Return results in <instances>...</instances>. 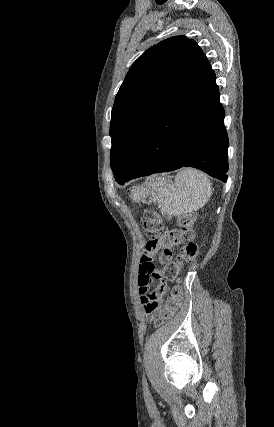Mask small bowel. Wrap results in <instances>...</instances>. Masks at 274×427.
I'll return each mask as SVG.
<instances>
[{"label":"small bowel","mask_w":274,"mask_h":427,"mask_svg":"<svg viewBox=\"0 0 274 427\" xmlns=\"http://www.w3.org/2000/svg\"><path fill=\"white\" fill-rule=\"evenodd\" d=\"M143 253L140 258L139 265V275H138V294L140 298V303L142 305V312L146 319L154 321V316L157 315L154 313V306L160 305L163 296L166 292V285L163 283V280L166 283H171L172 278H177L179 275L177 268V263L175 261H166L164 263V270L160 269L156 264H150L152 262V254L154 256L160 255L159 247L156 245H144ZM174 251H165L166 256L171 257L174 255ZM154 273L151 277L150 274ZM164 277V279H163ZM157 284L158 292H152L150 290L151 284Z\"/></svg>","instance_id":"c3829d8e"}]
</instances>
